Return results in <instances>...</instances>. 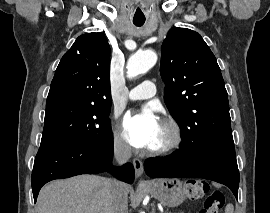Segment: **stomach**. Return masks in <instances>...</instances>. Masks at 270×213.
Instances as JSON below:
<instances>
[{"mask_svg": "<svg viewBox=\"0 0 270 213\" xmlns=\"http://www.w3.org/2000/svg\"><path fill=\"white\" fill-rule=\"evenodd\" d=\"M150 193L163 205L178 206L185 199L182 182L179 179H161L151 182Z\"/></svg>", "mask_w": 270, "mask_h": 213, "instance_id": "stomach-1", "label": "stomach"}]
</instances>
